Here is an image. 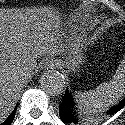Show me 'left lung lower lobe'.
Here are the masks:
<instances>
[{
  "instance_id": "0a47b994",
  "label": "left lung lower lobe",
  "mask_w": 125,
  "mask_h": 125,
  "mask_svg": "<svg viewBox=\"0 0 125 125\" xmlns=\"http://www.w3.org/2000/svg\"><path fill=\"white\" fill-rule=\"evenodd\" d=\"M72 96L68 93L65 92L64 98L62 103L59 106V115L61 120L64 123H70L72 125L78 123L79 125H86V123L80 122L78 118V114L76 109L74 108V104L72 101ZM125 106V99H123L118 105L114 106L109 113L113 114L118 112L122 107Z\"/></svg>"
}]
</instances>
